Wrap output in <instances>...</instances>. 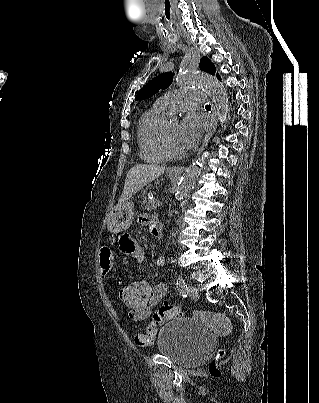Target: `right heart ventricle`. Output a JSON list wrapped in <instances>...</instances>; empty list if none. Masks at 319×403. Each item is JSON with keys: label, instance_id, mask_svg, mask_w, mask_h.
<instances>
[{"label": "right heart ventricle", "instance_id": "e07e8e85", "mask_svg": "<svg viewBox=\"0 0 319 403\" xmlns=\"http://www.w3.org/2000/svg\"><path fill=\"white\" fill-rule=\"evenodd\" d=\"M169 112L154 104L140 118L137 127L139 154L148 163H163L167 160L160 147V132Z\"/></svg>", "mask_w": 319, "mask_h": 403}]
</instances>
